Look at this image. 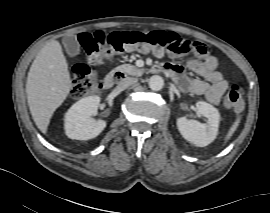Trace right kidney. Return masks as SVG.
I'll return each instance as SVG.
<instances>
[{
    "label": "right kidney",
    "mask_w": 270,
    "mask_h": 213,
    "mask_svg": "<svg viewBox=\"0 0 270 213\" xmlns=\"http://www.w3.org/2000/svg\"><path fill=\"white\" fill-rule=\"evenodd\" d=\"M99 96L82 98L73 104L64 118L65 134L70 139L89 140L97 137L106 127L104 120H94L90 116L97 112Z\"/></svg>",
    "instance_id": "ca27d5eb"
}]
</instances>
